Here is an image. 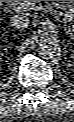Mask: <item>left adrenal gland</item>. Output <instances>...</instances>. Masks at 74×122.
<instances>
[{
  "label": "left adrenal gland",
  "mask_w": 74,
  "mask_h": 122,
  "mask_svg": "<svg viewBox=\"0 0 74 122\" xmlns=\"http://www.w3.org/2000/svg\"><path fill=\"white\" fill-rule=\"evenodd\" d=\"M56 18H57V16H55ZM64 30L66 31V32H69L70 31V28H69V26H67V25H64Z\"/></svg>",
  "instance_id": "a2214340"
}]
</instances>
